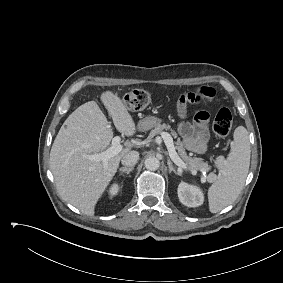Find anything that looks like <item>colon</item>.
Masks as SVG:
<instances>
[{"instance_id":"colon-1","label":"colon","mask_w":283,"mask_h":283,"mask_svg":"<svg viewBox=\"0 0 283 283\" xmlns=\"http://www.w3.org/2000/svg\"><path fill=\"white\" fill-rule=\"evenodd\" d=\"M197 96L203 99H211L215 95V89L211 86L204 85L193 91ZM124 105L131 111L142 110L150 103V94L141 88H137L125 95ZM233 116L228 108H221L214 119L213 131L220 137L229 135L232 129Z\"/></svg>"}]
</instances>
